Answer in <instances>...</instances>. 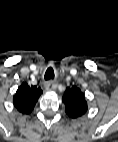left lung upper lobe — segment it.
I'll return each mask as SVG.
<instances>
[{"mask_svg": "<svg viewBox=\"0 0 118 142\" xmlns=\"http://www.w3.org/2000/svg\"><path fill=\"white\" fill-rule=\"evenodd\" d=\"M62 101L65 104L66 114L71 118H78L87 112V102L79 88H66Z\"/></svg>", "mask_w": 118, "mask_h": 142, "instance_id": "left-lung-upper-lobe-1", "label": "left lung upper lobe"}]
</instances>
